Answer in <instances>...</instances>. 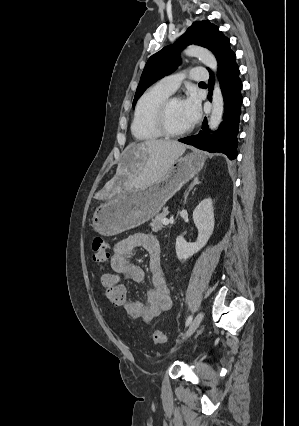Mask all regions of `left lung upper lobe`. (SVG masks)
Instances as JSON below:
<instances>
[{"instance_id":"left-lung-upper-lobe-1","label":"left lung upper lobe","mask_w":299,"mask_h":426,"mask_svg":"<svg viewBox=\"0 0 299 426\" xmlns=\"http://www.w3.org/2000/svg\"><path fill=\"white\" fill-rule=\"evenodd\" d=\"M197 44L208 48L217 60L230 49V40L209 20L194 22L175 44L164 47L147 61L137 87L133 106L143 92L154 82L171 74L180 65L179 52L186 46Z\"/></svg>"}]
</instances>
